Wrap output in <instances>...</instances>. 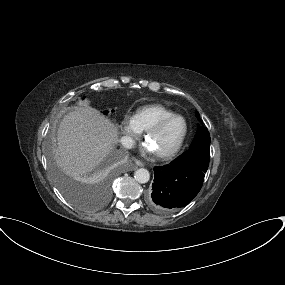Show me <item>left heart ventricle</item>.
I'll use <instances>...</instances> for the list:
<instances>
[{
	"label": "left heart ventricle",
	"mask_w": 285,
	"mask_h": 285,
	"mask_svg": "<svg viewBox=\"0 0 285 285\" xmlns=\"http://www.w3.org/2000/svg\"><path fill=\"white\" fill-rule=\"evenodd\" d=\"M183 131V121L181 119H174L166 124L158 133L154 134L147 144L154 153L167 152L178 143Z\"/></svg>",
	"instance_id": "obj_1"
}]
</instances>
